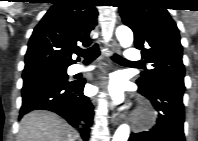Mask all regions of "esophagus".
<instances>
[{"label":"esophagus","instance_id":"esophagus-1","mask_svg":"<svg viewBox=\"0 0 198 141\" xmlns=\"http://www.w3.org/2000/svg\"><path fill=\"white\" fill-rule=\"evenodd\" d=\"M112 53H120V47L117 43H113L111 46ZM121 120V116L118 113H113L111 116V122L113 125H117Z\"/></svg>","mask_w":198,"mask_h":141}]
</instances>
